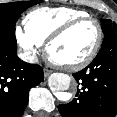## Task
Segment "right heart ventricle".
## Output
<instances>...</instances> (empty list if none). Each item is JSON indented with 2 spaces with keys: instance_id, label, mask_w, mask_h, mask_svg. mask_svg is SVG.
<instances>
[{
  "instance_id": "e07e8e85",
  "label": "right heart ventricle",
  "mask_w": 117,
  "mask_h": 117,
  "mask_svg": "<svg viewBox=\"0 0 117 117\" xmlns=\"http://www.w3.org/2000/svg\"><path fill=\"white\" fill-rule=\"evenodd\" d=\"M84 16H88V13L72 7L37 8L24 18L25 31L37 43L43 44L52 33L64 24Z\"/></svg>"
}]
</instances>
